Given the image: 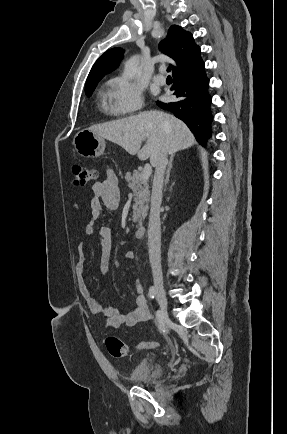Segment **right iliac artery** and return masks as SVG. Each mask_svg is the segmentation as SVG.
Wrapping results in <instances>:
<instances>
[{
    "label": "right iliac artery",
    "instance_id": "right-iliac-artery-1",
    "mask_svg": "<svg viewBox=\"0 0 287 434\" xmlns=\"http://www.w3.org/2000/svg\"><path fill=\"white\" fill-rule=\"evenodd\" d=\"M148 295H149V298H150L151 300H153V299L155 298V287H154V286H151V287L149 288Z\"/></svg>",
    "mask_w": 287,
    "mask_h": 434
}]
</instances>
